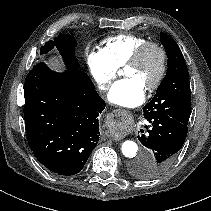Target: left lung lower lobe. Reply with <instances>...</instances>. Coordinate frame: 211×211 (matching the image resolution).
I'll list each match as a JSON object with an SVG mask.
<instances>
[{
    "label": "left lung lower lobe",
    "instance_id": "1",
    "mask_svg": "<svg viewBox=\"0 0 211 211\" xmlns=\"http://www.w3.org/2000/svg\"><path fill=\"white\" fill-rule=\"evenodd\" d=\"M147 121L152 127L147 130L148 133L138 136V139L152 150V158H138L133 161L132 168L140 178L152 179L166 172L173 164L184 144L188 128L187 125L167 116L148 118Z\"/></svg>",
    "mask_w": 211,
    "mask_h": 211
}]
</instances>
